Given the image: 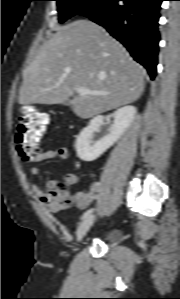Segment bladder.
I'll use <instances>...</instances> for the list:
<instances>
[{"label":"bladder","instance_id":"obj_1","mask_svg":"<svg viewBox=\"0 0 180 299\" xmlns=\"http://www.w3.org/2000/svg\"><path fill=\"white\" fill-rule=\"evenodd\" d=\"M100 240L106 243H115L119 240V232L116 228H107L101 232Z\"/></svg>","mask_w":180,"mask_h":299}]
</instances>
